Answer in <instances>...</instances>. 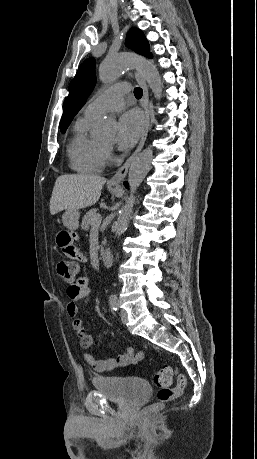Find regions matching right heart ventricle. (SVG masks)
<instances>
[{
	"label": "right heart ventricle",
	"mask_w": 257,
	"mask_h": 459,
	"mask_svg": "<svg viewBox=\"0 0 257 459\" xmlns=\"http://www.w3.org/2000/svg\"><path fill=\"white\" fill-rule=\"evenodd\" d=\"M93 118L84 114L76 120L73 136L68 144L70 166L79 173H99L105 164L104 146L89 134Z\"/></svg>",
	"instance_id": "1"
}]
</instances>
